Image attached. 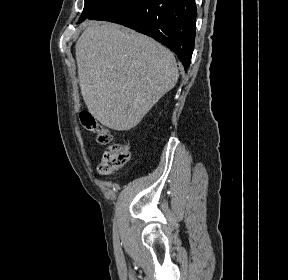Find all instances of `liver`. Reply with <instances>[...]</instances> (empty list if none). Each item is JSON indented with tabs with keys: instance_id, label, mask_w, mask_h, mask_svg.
<instances>
[{
	"instance_id": "liver-1",
	"label": "liver",
	"mask_w": 288,
	"mask_h": 280,
	"mask_svg": "<svg viewBox=\"0 0 288 280\" xmlns=\"http://www.w3.org/2000/svg\"><path fill=\"white\" fill-rule=\"evenodd\" d=\"M75 49L88 111L117 131L135 127L179 77L170 50L113 23L89 25Z\"/></svg>"
}]
</instances>
